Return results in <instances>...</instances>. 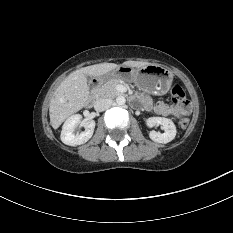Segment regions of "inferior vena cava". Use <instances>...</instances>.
<instances>
[{"instance_id":"1","label":"inferior vena cava","mask_w":233,"mask_h":233,"mask_svg":"<svg viewBox=\"0 0 233 233\" xmlns=\"http://www.w3.org/2000/svg\"><path fill=\"white\" fill-rule=\"evenodd\" d=\"M112 103H113V101L111 99H107V98L98 99L94 103V109L96 111L101 112V111H104V110L110 108Z\"/></svg>"}]
</instances>
